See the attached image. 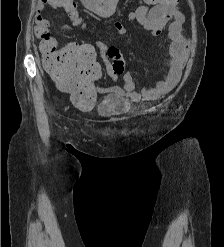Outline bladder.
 <instances>
[{"label":"bladder","instance_id":"bladder-1","mask_svg":"<svg viewBox=\"0 0 224 247\" xmlns=\"http://www.w3.org/2000/svg\"><path fill=\"white\" fill-rule=\"evenodd\" d=\"M121 113V107L117 99L108 96L97 107V114L102 118H113Z\"/></svg>","mask_w":224,"mask_h":247}]
</instances>
